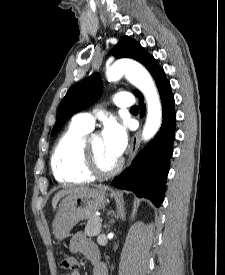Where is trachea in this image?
Segmentation results:
<instances>
[{
    "label": "trachea",
    "mask_w": 225,
    "mask_h": 275,
    "mask_svg": "<svg viewBox=\"0 0 225 275\" xmlns=\"http://www.w3.org/2000/svg\"><path fill=\"white\" fill-rule=\"evenodd\" d=\"M131 109L136 110V109H138V107L137 106H133V107H131Z\"/></svg>",
    "instance_id": "1"
}]
</instances>
